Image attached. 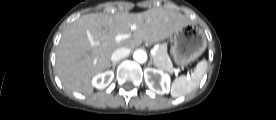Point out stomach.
<instances>
[{"label":"stomach","instance_id":"0dacf381","mask_svg":"<svg viewBox=\"0 0 276 120\" xmlns=\"http://www.w3.org/2000/svg\"><path fill=\"white\" fill-rule=\"evenodd\" d=\"M171 55L179 66H186L198 58L207 47L204 32L194 25L188 24L174 33Z\"/></svg>","mask_w":276,"mask_h":120}]
</instances>
